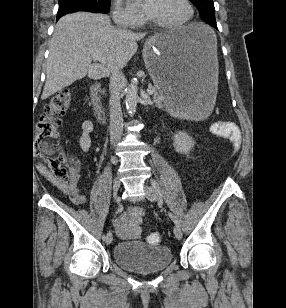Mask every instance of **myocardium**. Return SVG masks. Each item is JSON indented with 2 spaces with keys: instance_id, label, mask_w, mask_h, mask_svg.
<instances>
[{
  "instance_id": "1",
  "label": "myocardium",
  "mask_w": 286,
  "mask_h": 308,
  "mask_svg": "<svg viewBox=\"0 0 286 308\" xmlns=\"http://www.w3.org/2000/svg\"><path fill=\"white\" fill-rule=\"evenodd\" d=\"M183 2L188 9V16L183 21H180L177 23H163V22L154 21L150 18L149 20L150 23L158 29H178V28L188 25L194 19L195 10L190 0H183Z\"/></svg>"
}]
</instances>
